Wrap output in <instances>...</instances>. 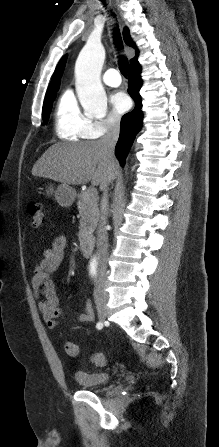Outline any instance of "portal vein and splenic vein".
<instances>
[{
  "instance_id": "1",
  "label": "portal vein and splenic vein",
  "mask_w": 219,
  "mask_h": 447,
  "mask_svg": "<svg viewBox=\"0 0 219 447\" xmlns=\"http://www.w3.org/2000/svg\"><path fill=\"white\" fill-rule=\"evenodd\" d=\"M88 193H89V195L88 196H94V195H96L97 194V192H96V190L95 189H89L88 190Z\"/></svg>"
}]
</instances>
